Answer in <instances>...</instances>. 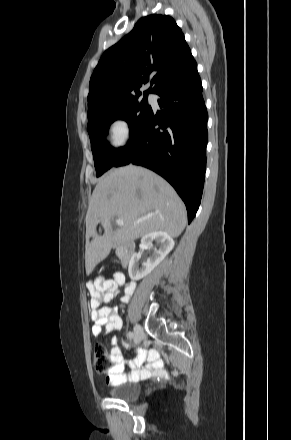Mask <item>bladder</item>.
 Wrapping results in <instances>:
<instances>
[{
	"instance_id": "obj_1",
	"label": "bladder",
	"mask_w": 291,
	"mask_h": 440,
	"mask_svg": "<svg viewBox=\"0 0 291 440\" xmlns=\"http://www.w3.org/2000/svg\"><path fill=\"white\" fill-rule=\"evenodd\" d=\"M139 394L140 390L136 382L123 383L108 391L110 397L120 401H133Z\"/></svg>"
}]
</instances>
